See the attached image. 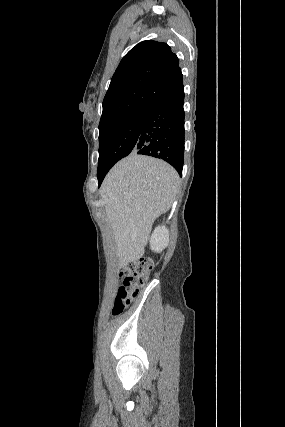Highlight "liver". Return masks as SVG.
<instances>
[{
    "mask_svg": "<svg viewBox=\"0 0 285 427\" xmlns=\"http://www.w3.org/2000/svg\"><path fill=\"white\" fill-rule=\"evenodd\" d=\"M179 184L178 173L168 163L135 152L109 171L100 194L114 235L119 267L144 255L153 223L170 209Z\"/></svg>",
    "mask_w": 285,
    "mask_h": 427,
    "instance_id": "obj_1",
    "label": "liver"
}]
</instances>
